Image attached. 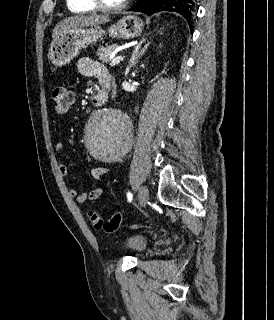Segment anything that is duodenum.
Here are the masks:
<instances>
[{"label": "duodenum", "mask_w": 274, "mask_h": 320, "mask_svg": "<svg viewBox=\"0 0 274 320\" xmlns=\"http://www.w3.org/2000/svg\"><path fill=\"white\" fill-rule=\"evenodd\" d=\"M108 97L107 94L104 92L98 93L96 94L92 99L91 102L92 104H94L95 106H100L103 103H105L107 101Z\"/></svg>", "instance_id": "1"}]
</instances>
